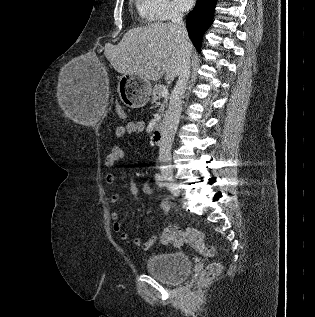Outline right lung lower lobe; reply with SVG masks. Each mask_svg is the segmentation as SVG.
<instances>
[{
    "mask_svg": "<svg viewBox=\"0 0 315 317\" xmlns=\"http://www.w3.org/2000/svg\"><path fill=\"white\" fill-rule=\"evenodd\" d=\"M216 0H198L195 8L188 14L186 27L197 51H200L202 36L211 25Z\"/></svg>",
    "mask_w": 315,
    "mask_h": 317,
    "instance_id": "right-lung-lower-lobe-1",
    "label": "right lung lower lobe"
}]
</instances>
